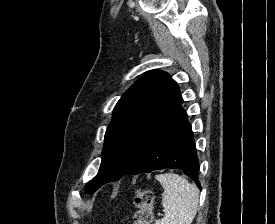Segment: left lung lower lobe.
<instances>
[{
    "mask_svg": "<svg viewBox=\"0 0 275 224\" xmlns=\"http://www.w3.org/2000/svg\"><path fill=\"white\" fill-rule=\"evenodd\" d=\"M182 103L183 100L160 122L124 175L176 168L182 170L200 188L199 160L191 125ZM110 181L113 180L104 179L97 189Z\"/></svg>",
    "mask_w": 275,
    "mask_h": 224,
    "instance_id": "1",
    "label": "left lung lower lobe"
}]
</instances>
